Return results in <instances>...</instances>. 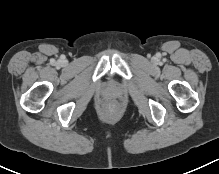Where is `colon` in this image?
I'll return each instance as SVG.
<instances>
[{"label":"colon","mask_w":219,"mask_h":174,"mask_svg":"<svg viewBox=\"0 0 219 174\" xmlns=\"http://www.w3.org/2000/svg\"><path fill=\"white\" fill-rule=\"evenodd\" d=\"M118 109V105L115 102H109L105 104L103 112L107 117H112L117 113Z\"/></svg>","instance_id":"5ec220e1"}]
</instances>
